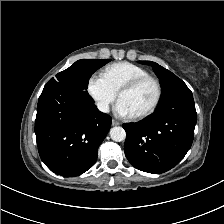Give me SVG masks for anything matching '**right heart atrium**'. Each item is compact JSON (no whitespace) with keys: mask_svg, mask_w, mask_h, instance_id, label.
I'll list each match as a JSON object with an SVG mask.
<instances>
[{"mask_svg":"<svg viewBox=\"0 0 224 224\" xmlns=\"http://www.w3.org/2000/svg\"><path fill=\"white\" fill-rule=\"evenodd\" d=\"M87 92L95 102L97 108L104 113L109 111L117 95L102 75H92L89 77L87 81Z\"/></svg>","mask_w":224,"mask_h":224,"instance_id":"obj_1","label":"right heart atrium"}]
</instances>
